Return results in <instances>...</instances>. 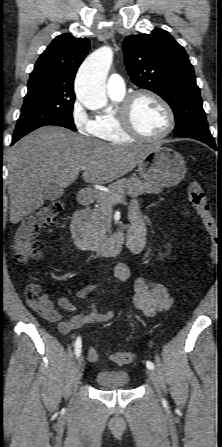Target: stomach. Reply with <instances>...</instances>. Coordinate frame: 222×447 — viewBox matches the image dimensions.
<instances>
[{"instance_id": "1", "label": "stomach", "mask_w": 222, "mask_h": 447, "mask_svg": "<svg viewBox=\"0 0 222 447\" xmlns=\"http://www.w3.org/2000/svg\"><path fill=\"white\" fill-rule=\"evenodd\" d=\"M186 171L184 158L173 149L162 146H154L138 164L141 177L158 187L179 184Z\"/></svg>"}]
</instances>
